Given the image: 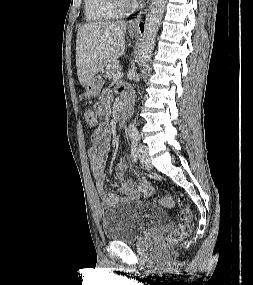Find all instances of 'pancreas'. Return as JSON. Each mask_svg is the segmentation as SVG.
Listing matches in <instances>:
<instances>
[{
    "label": "pancreas",
    "instance_id": "cf45deb5",
    "mask_svg": "<svg viewBox=\"0 0 253 285\" xmlns=\"http://www.w3.org/2000/svg\"><path fill=\"white\" fill-rule=\"evenodd\" d=\"M121 71V67L116 63H111L105 69V79H111L114 75Z\"/></svg>",
    "mask_w": 253,
    "mask_h": 285
}]
</instances>
